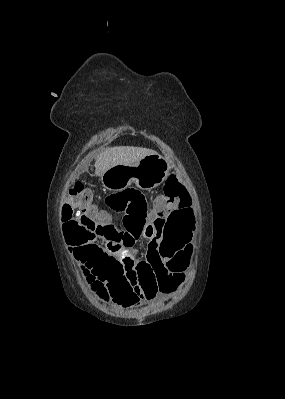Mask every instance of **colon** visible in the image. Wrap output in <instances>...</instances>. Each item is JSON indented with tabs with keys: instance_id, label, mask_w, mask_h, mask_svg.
<instances>
[{
	"instance_id": "5ec220e1",
	"label": "colon",
	"mask_w": 285,
	"mask_h": 399,
	"mask_svg": "<svg viewBox=\"0 0 285 399\" xmlns=\"http://www.w3.org/2000/svg\"><path fill=\"white\" fill-rule=\"evenodd\" d=\"M185 191L182 182L173 178L165 181L163 193L154 199L165 219L157 225L163 244L151 249L146 258L138 259L134 249L144 235L148 219L145 198L135 190H125L106 196L99 206L92 189L82 182L69 187L61 209L63 232L79 254V276L89 292L107 289L118 302L130 306L142 298V293L146 298L155 296L160 281L186 268L183 247L188 239L185 235H171L174 226L191 218L190 208L180 199ZM106 209L122 213V219L115 221ZM107 258L116 260L120 271L124 263L134 268L135 277L129 282H118L114 273L103 269Z\"/></svg>"
}]
</instances>
